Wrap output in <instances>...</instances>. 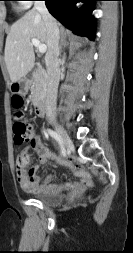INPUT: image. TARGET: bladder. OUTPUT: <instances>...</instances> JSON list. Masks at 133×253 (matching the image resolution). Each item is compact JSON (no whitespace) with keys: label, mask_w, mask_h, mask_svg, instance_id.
<instances>
[{"label":"bladder","mask_w":133,"mask_h":253,"mask_svg":"<svg viewBox=\"0 0 133 253\" xmlns=\"http://www.w3.org/2000/svg\"><path fill=\"white\" fill-rule=\"evenodd\" d=\"M33 198L48 206H57L63 202L61 194L45 190L34 193Z\"/></svg>","instance_id":"obj_1"}]
</instances>
